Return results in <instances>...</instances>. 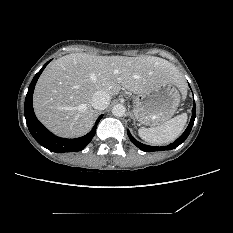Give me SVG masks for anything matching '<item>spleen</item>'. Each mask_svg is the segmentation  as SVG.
I'll return each instance as SVG.
<instances>
[{
	"label": "spleen",
	"instance_id": "spleen-1",
	"mask_svg": "<svg viewBox=\"0 0 233 233\" xmlns=\"http://www.w3.org/2000/svg\"><path fill=\"white\" fill-rule=\"evenodd\" d=\"M187 122V114L182 113L166 121L160 126L152 128H140L139 136L145 142L152 145H163L177 139L183 132Z\"/></svg>",
	"mask_w": 233,
	"mask_h": 233
}]
</instances>
